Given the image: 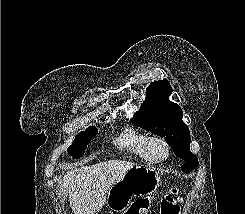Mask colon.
Returning <instances> with one entry per match:
<instances>
[{
	"label": "colon",
	"mask_w": 245,
	"mask_h": 214,
	"mask_svg": "<svg viewBox=\"0 0 245 214\" xmlns=\"http://www.w3.org/2000/svg\"><path fill=\"white\" fill-rule=\"evenodd\" d=\"M150 202L147 199L136 200L123 214H156L149 209ZM180 205L177 199V191L173 190L161 203L160 214H179Z\"/></svg>",
	"instance_id": "colon-1"
}]
</instances>
